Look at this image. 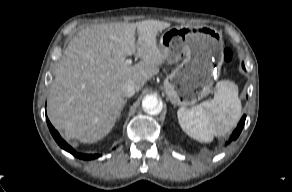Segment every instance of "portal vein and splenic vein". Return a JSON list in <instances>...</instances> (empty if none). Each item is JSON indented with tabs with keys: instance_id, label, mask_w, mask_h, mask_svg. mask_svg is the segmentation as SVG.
I'll list each match as a JSON object with an SVG mask.
<instances>
[{
	"instance_id": "portal-vein-and-splenic-vein-1",
	"label": "portal vein and splenic vein",
	"mask_w": 292,
	"mask_h": 192,
	"mask_svg": "<svg viewBox=\"0 0 292 192\" xmlns=\"http://www.w3.org/2000/svg\"><path fill=\"white\" fill-rule=\"evenodd\" d=\"M125 63H126V64H131V63H132V60H131V59H127V60L125 61Z\"/></svg>"
}]
</instances>
